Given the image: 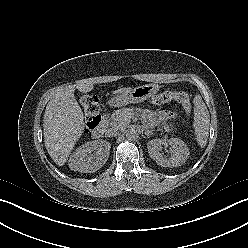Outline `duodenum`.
Here are the masks:
<instances>
[{
  "label": "duodenum",
  "instance_id": "duodenum-1",
  "mask_svg": "<svg viewBox=\"0 0 248 248\" xmlns=\"http://www.w3.org/2000/svg\"><path fill=\"white\" fill-rule=\"evenodd\" d=\"M92 136L96 139L101 138L106 129V120L102 118V115L99 116L94 125L92 126Z\"/></svg>",
  "mask_w": 248,
  "mask_h": 248
}]
</instances>
